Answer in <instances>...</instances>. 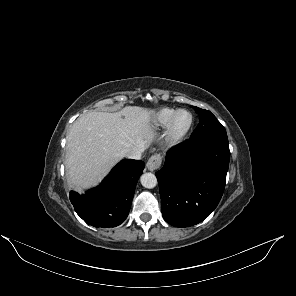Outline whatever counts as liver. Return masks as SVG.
<instances>
[{"label":"liver","instance_id":"liver-1","mask_svg":"<svg viewBox=\"0 0 296 296\" xmlns=\"http://www.w3.org/2000/svg\"><path fill=\"white\" fill-rule=\"evenodd\" d=\"M152 110L125 107L116 113L91 111L80 116L67 135L65 167L78 191L96 185L129 148L147 149L154 139Z\"/></svg>","mask_w":296,"mask_h":296}]
</instances>
